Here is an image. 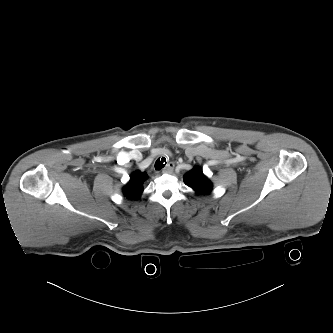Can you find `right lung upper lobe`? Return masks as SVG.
<instances>
[{
    "label": "right lung upper lobe",
    "mask_w": 333,
    "mask_h": 333,
    "mask_svg": "<svg viewBox=\"0 0 333 333\" xmlns=\"http://www.w3.org/2000/svg\"><path fill=\"white\" fill-rule=\"evenodd\" d=\"M148 179L145 172L136 170L130 176L129 182L122 188L123 194L130 200L140 199L143 192V183Z\"/></svg>",
    "instance_id": "cb5924a9"
}]
</instances>
